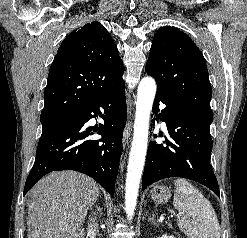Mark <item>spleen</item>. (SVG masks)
<instances>
[{"instance_id":"3e777b00","label":"spleen","mask_w":247,"mask_h":238,"mask_svg":"<svg viewBox=\"0 0 247 238\" xmlns=\"http://www.w3.org/2000/svg\"><path fill=\"white\" fill-rule=\"evenodd\" d=\"M177 224L189 238H220V225L211 203L185 179L174 181Z\"/></svg>"}]
</instances>
